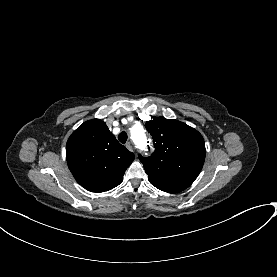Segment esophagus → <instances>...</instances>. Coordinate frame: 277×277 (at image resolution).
I'll use <instances>...</instances> for the list:
<instances>
[{
	"label": "esophagus",
	"mask_w": 277,
	"mask_h": 277,
	"mask_svg": "<svg viewBox=\"0 0 277 277\" xmlns=\"http://www.w3.org/2000/svg\"><path fill=\"white\" fill-rule=\"evenodd\" d=\"M126 147H127L129 150H132V146H131V143H130V142H127Z\"/></svg>",
	"instance_id": "1"
}]
</instances>
